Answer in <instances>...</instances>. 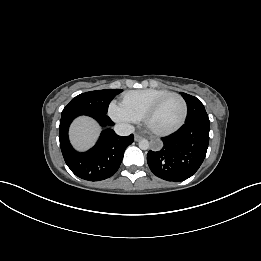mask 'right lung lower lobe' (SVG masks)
Returning a JSON list of instances; mask_svg holds the SVG:
<instances>
[{
	"instance_id": "obj_1",
	"label": "right lung lower lobe",
	"mask_w": 261,
	"mask_h": 261,
	"mask_svg": "<svg viewBox=\"0 0 261 261\" xmlns=\"http://www.w3.org/2000/svg\"><path fill=\"white\" fill-rule=\"evenodd\" d=\"M88 115L101 126H111L113 122L106 114L86 112L77 109L62 111L59 140L64 160L70 170L78 177L88 181H100L111 177L119 168L125 149L134 141L133 134L122 137L112 129L102 131L96 145L89 151H75L68 139V129L74 118Z\"/></svg>"
}]
</instances>
